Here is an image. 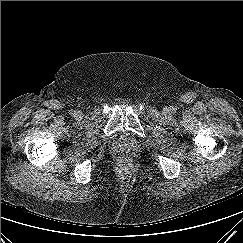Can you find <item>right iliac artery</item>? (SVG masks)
<instances>
[{
	"label": "right iliac artery",
	"instance_id": "1",
	"mask_svg": "<svg viewBox=\"0 0 243 243\" xmlns=\"http://www.w3.org/2000/svg\"><path fill=\"white\" fill-rule=\"evenodd\" d=\"M70 115L75 116L76 115V111L75 110H70Z\"/></svg>",
	"mask_w": 243,
	"mask_h": 243
}]
</instances>
